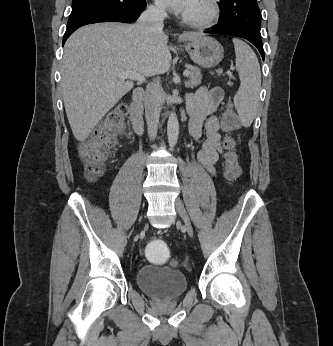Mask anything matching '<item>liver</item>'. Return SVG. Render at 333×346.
Segmentation results:
<instances>
[{
    "label": "liver",
    "instance_id": "1",
    "mask_svg": "<svg viewBox=\"0 0 333 346\" xmlns=\"http://www.w3.org/2000/svg\"><path fill=\"white\" fill-rule=\"evenodd\" d=\"M202 34L187 32L179 41ZM168 36L147 34L137 24L98 23L81 27L66 41L61 65V91L74 137L83 142L104 115L134 86L119 74L143 77L166 73L172 56Z\"/></svg>",
    "mask_w": 333,
    "mask_h": 346
}]
</instances>
